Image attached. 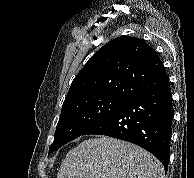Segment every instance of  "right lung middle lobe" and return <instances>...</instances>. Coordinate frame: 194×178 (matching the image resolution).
Returning <instances> with one entry per match:
<instances>
[{
    "mask_svg": "<svg viewBox=\"0 0 194 178\" xmlns=\"http://www.w3.org/2000/svg\"><path fill=\"white\" fill-rule=\"evenodd\" d=\"M125 101L111 97H91L74 100L63 105L54 141L48 154L83 135Z\"/></svg>",
    "mask_w": 194,
    "mask_h": 178,
    "instance_id": "right-lung-middle-lobe-1",
    "label": "right lung middle lobe"
}]
</instances>
